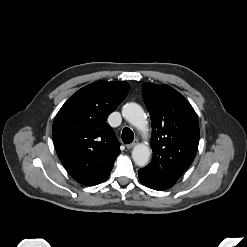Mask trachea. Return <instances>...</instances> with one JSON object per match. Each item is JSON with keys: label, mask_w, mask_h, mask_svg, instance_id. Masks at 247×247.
Masks as SVG:
<instances>
[{"label": "trachea", "mask_w": 247, "mask_h": 247, "mask_svg": "<svg viewBox=\"0 0 247 247\" xmlns=\"http://www.w3.org/2000/svg\"><path fill=\"white\" fill-rule=\"evenodd\" d=\"M134 139V133L130 128H124L122 131V140L125 144H130Z\"/></svg>", "instance_id": "1"}]
</instances>
